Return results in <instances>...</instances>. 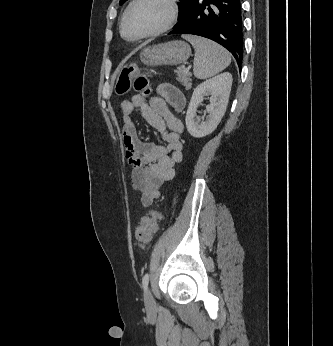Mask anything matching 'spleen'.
I'll list each match as a JSON object with an SVG mask.
<instances>
[{"label":"spleen","instance_id":"3e777b00","mask_svg":"<svg viewBox=\"0 0 333 346\" xmlns=\"http://www.w3.org/2000/svg\"><path fill=\"white\" fill-rule=\"evenodd\" d=\"M195 49L193 72L196 78L206 79L214 76L231 63L228 51L217 43L203 37L186 35Z\"/></svg>","mask_w":333,"mask_h":346}]
</instances>
